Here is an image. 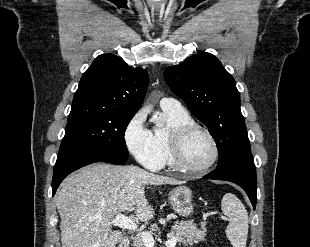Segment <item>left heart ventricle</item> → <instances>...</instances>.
I'll return each mask as SVG.
<instances>
[{
  "instance_id": "obj_1",
  "label": "left heart ventricle",
  "mask_w": 310,
  "mask_h": 247,
  "mask_svg": "<svg viewBox=\"0 0 310 247\" xmlns=\"http://www.w3.org/2000/svg\"><path fill=\"white\" fill-rule=\"evenodd\" d=\"M186 163L193 168L206 165L213 156V148L208 137L202 132L192 133L184 145Z\"/></svg>"
}]
</instances>
